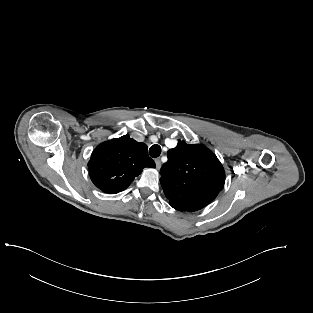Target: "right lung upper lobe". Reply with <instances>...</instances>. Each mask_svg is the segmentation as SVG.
<instances>
[{
  "mask_svg": "<svg viewBox=\"0 0 313 313\" xmlns=\"http://www.w3.org/2000/svg\"><path fill=\"white\" fill-rule=\"evenodd\" d=\"M92 182L103 192L116 194L125 190L145 167L154 168L147 145L129 136L99 144L88 163Z\"/></svg>",
  "mask_w": 313,
  "mask_h": 313,
  "instance_id": "cb5924a9",
  "label": "right lung upper lobe"
}]
</instances>
